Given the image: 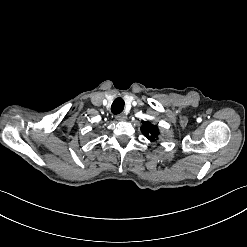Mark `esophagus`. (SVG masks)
<instances>
[{
  "label": "esophagus",
  "instance_id": "obj_1",
  "mask_svg": "<svg viewBox=\"0 0 247 247\" xmlns=\"http://www.w3.org/2000/svg\"><path fill=\"white\" fill-rule=\"evenodd\" d=\"M116 120L124 121V120H126V115L124 113H121V114L116 116Z\"/></svg>",
  "mask_w": 247,
  "mask_h": 247
}]
</instances>
